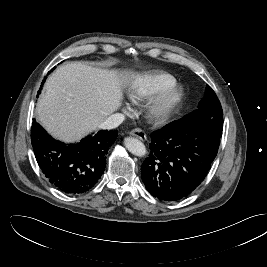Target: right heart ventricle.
Returning <instances> with one entry per match:
<instances>
[{
  "label": "right heart ventricle",
  "instance_id": "1",
  "mask_svg": "<svg viewBox=\"0 0 267 267\" xmlns=\"http://www.w3.org/2000/svg\"><path fill=\"white\" fill-rule=\"evenodd\" d=\"M176 79L165 72H146L133 76L127 86V95L134 102L152 99L175 85Z\"/></svg>",
  "mask_w": 267,
  "mask_h": 267
}]
</instances>
